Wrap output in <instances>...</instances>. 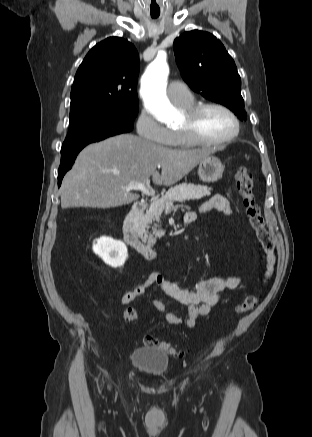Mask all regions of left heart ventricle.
I'll use <instances>...</instances> for the list:
<instances>
[{
  "instance_id": "b2bd125f",
  "label": "left heart ventricle",
  "mask_w": 312,
  "mask_h": 437,
  "mask_svg": "<svg viewBox=\"0 0 312 437\" xmlns=\"http://www.w3.org/2000/svg\"><path fill=\"white\" fill-rule=\"evenodd\" d=\"M186 115L180 123V127L186 124ZM234 129L232 119L222 110L217 108L206 109L197 119V130L199 134L208 140L225 138Z\"/></svg>"
}]
</instances>
